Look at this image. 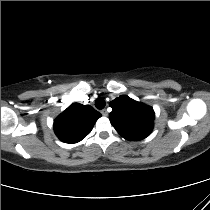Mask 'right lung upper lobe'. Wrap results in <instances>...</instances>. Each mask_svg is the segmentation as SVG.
I'll list each match as a JSON object with an SVG mask.
<instances>
[{"label": "right lung upper lobe", "instance_id": "obj_1", "mask_svg": "<svg viewBox=\"0 0 210 210\" xmlns=\"http://www.w3.org/2000/svg\"><path fill=\"white\" fill-rule=\"evenodd\" d=\"M101 114L89 105L71 104L54 120V131L65 143H77L92 130Z\"/></svg>", "mask_w": 210, "mask_h": 210}]
</instances>
